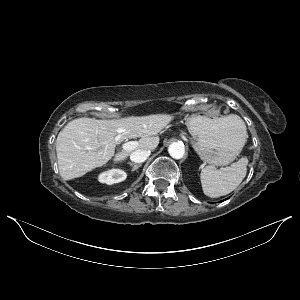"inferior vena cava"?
<instances>
[{
    "label": "inferior vena cava",
    "mask_w": 300,
    "mask_h": 300,
    "mask_svg": "<svg viewBox=\"0 0 300 300\" xmlns=\"http://www.w3.org/2000/svg\"><path fill=\"white\" fill-rule=\"evenodd\" d=\"M150 154L151 151L149 149H137L131 153L130 159L132 162L142 163L146 161Z\"/></svg>",
    "instance_id": "inferior-vena-cava-1"
}]
</instances>
